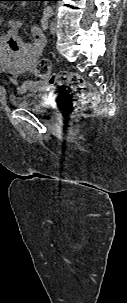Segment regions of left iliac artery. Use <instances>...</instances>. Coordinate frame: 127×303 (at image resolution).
<instances>
[{"mask_svg":"<svg viewBox=\"0 0 127 303\" xmlns=\"http://www.w3.org/2000/svg\"><path fill=\"white\" fill-rule=\"evenodd\" d=\"M52 14H53V9L50 6H47L44 9L43 16H49V17H51Z\"/></svg>","mask_w":127,"mask_h":303,"instance_id":"left-iliac-artery-1","label":"left iliac artery"}]
</instances>
